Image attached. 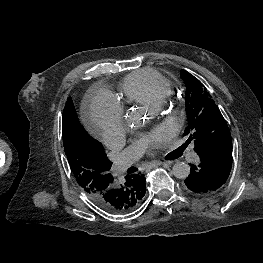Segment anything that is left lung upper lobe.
Masks as SVG:
<instances>
[{
    "instance_id": "left-lung-upper-lobe-1",
    "label": "left lung upper lobe",
    "mask_w": 263,
    "mask_h": 263,
    "mask_svg": "<svg viewBox=\"0 0 263 263\" xmlns=\"http://www.w3.org/2000/svg\"><path fill=\"white\" fill-rule=\"evenodd\" d=\"M185 82L188 125L184 135L194 140V150L199 153L223 141H231L228 125L218 106L210 98L205 86L193 75L181 70Z\"/></svg>"
}]
</instances>
